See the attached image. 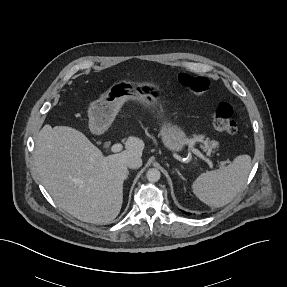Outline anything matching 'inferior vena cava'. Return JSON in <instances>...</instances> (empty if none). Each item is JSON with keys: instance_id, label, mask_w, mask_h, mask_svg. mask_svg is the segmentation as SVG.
<instances>
[{"instance_id": "602c4592", "label": "inferior vena cava", "mask_w": 287, "mask_h": 287, "mask_svg": "<svg viewBox=\"0 0 287 287\" xmlns=\"http://www.w3.org/2000/svg\"><path fill=\"white\" fill-rule=\"evenodd\" d=\"M126 165L131 169H138L142 166V159L138 156H132L127 159Z\"/></svg>"}]
</instances>
